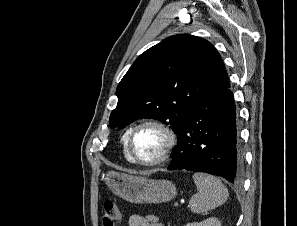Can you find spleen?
<instances>
[{
	"label": "spleen",
	"mask_w": 297,
	"mask_h": 226,
	"mask_svg": "<svg viewBox=\"0 0 297 226\" xmlns=\"http://www.w3.org/2000/svg\"><path fill=\"white\" fill-rule=\"evenodd\" d=\"M194 183L198 193L189 201L193 213H206L226 202L229 193L220 179L205 173H194Z\"/></svg>",
	"instance_id": "obj_1"
}]
</instances>
